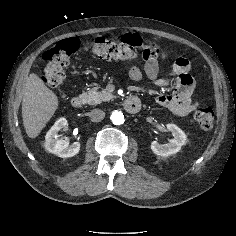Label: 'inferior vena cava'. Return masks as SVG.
<instances>
[{"label":"inferior vena cava","instance_id":"1","mask_svg":"<svg viewBox=\"0 0 236 236\" xmlns=\"http://www.w3.org/2000/svg\"><path fill=\"white\" fill-rule=\"evenodd\" d=\"M89 116L92 122H100L104 119L105 113L101 109H93Z\"/></svg>","mask_w":236,"mask_h":236}]
</instances>
